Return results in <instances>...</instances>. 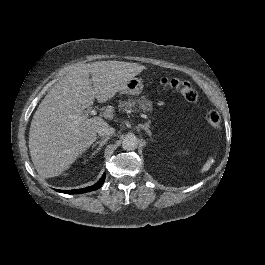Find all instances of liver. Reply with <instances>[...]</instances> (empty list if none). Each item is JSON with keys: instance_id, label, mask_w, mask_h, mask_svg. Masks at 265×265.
Here are the masks:
<instances>
[{"instance_id": "1", "label": "liver", "mask_w": 265, "mask_h": 265, "mask_svg": "<svg viewBox=\"0 0 265 265\" xmlns=\"http://www.w3.org/2000/svg\"><path fill=\"white\" fill-rule=\"evenodd\" d=\"M144 69L143 65L121 61L82 64L51 89L34 113L29 130L31 159L41 177L59 176L96 140L97 129L106 122L83 113L94 99L106 102L126 80ZM113 113L114 108L108 107L104 117L111 119ZM78 115L86 116L74 124L73 117Z\"/></svg>"}]
</instances>
